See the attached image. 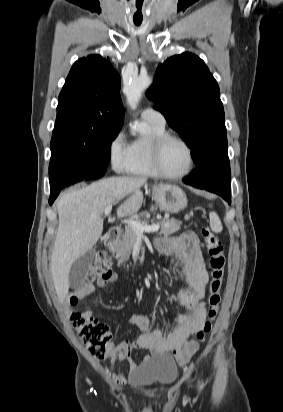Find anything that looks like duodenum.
I'll return each mask as SVG.
<instances>
[{"label": "duodenum", "instance_id": "duodenum-1", "mask_svg": "<svg viewBox=\"0 0 283 412\" xmlns=\"http://www.w3.org/2000/svg\"><path fill=\"white\" fill-rule=\"evenodd\" d=\"M119 233H120V229H119V228H117V227H111V228H109V229H108V232H107V234H106L105 242H106L108 245L114 244V243L117 241V239H118Z\"/></svg>", "mask_w": 283, "mask_h": 412}]
</instances>
